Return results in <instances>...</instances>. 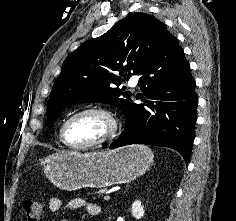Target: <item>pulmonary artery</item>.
<instances>
[{
  "label": "pulmonary artery",
  "mask_w": 236,
  "mask_h": 221,
  "mask_svg": "<svg viewBox=\"0 0 236 221\" xmlns=\"http://www.w3.org/2000/svg\"><path fill=\"white\" fill-rule=\"evenodd\" d=\"M138 82H139L138 76H134V77L130 78L129 84H130L131 87L134 88L138 85Z\"/></svg>",
  "instance_id": "pulmonary-artery-1"
}]
</instances>
